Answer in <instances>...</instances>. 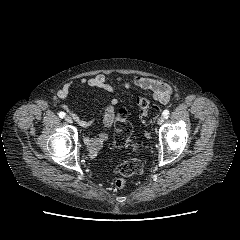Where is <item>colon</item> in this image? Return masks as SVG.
<instances>
[{
  "label": "colon",
  "instance_id": "5ec220e1",
  "mask_svg": "<svg viewBox=\"0 0 240 240\" xmlns=\"http://www.w3.org/2000/svg\"><path fill=\"white\" fill-rule=\"evenodd\" d=\"M136 105L141 110V117L145 123H150L157 117L159 108L157 106H150L148 101L143 97H137ZM132 126L128 120V113L125 109L119 110L115 122L114 145L117 147L128 146L131 151L136 154L139 146L131 140ZM117 171L122 176L115 182L117 188H123L126 185L127 177L139 175L143 173V166L141 161L133 157L123 163L117 168Z\"/></svg>",
  "mask_w": 240,
  "mask_h": 240
}]
</instances>
